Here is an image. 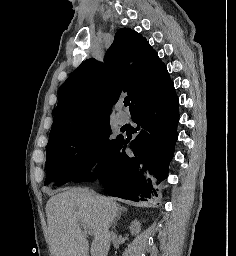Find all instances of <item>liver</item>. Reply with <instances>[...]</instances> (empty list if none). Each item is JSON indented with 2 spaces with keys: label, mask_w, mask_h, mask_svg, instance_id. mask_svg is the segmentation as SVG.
<instances>
[{
  "label": "liver",
  "mask_w": 236,
  "mask_h": 256,
  "mask_svg": "<svg viewBox=\"0 0 236 256\" xmlns=\"http://www.w3.org/2000/svg\"><path fill=\"white\" fill-rule=\"evenodd\" d=\"M46 204L49 246L53 256H108L110 224L121 206L113 198L98 196L88 188H61ZM79 222L90 228L94 240L89 248Z\"/></svg>",
  "instance_id": "1"
}]
</instances>
